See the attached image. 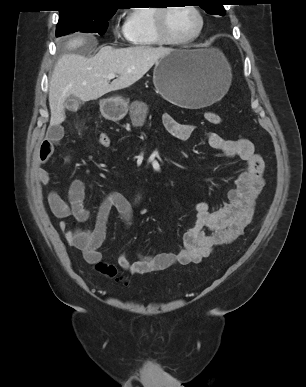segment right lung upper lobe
I'll return each instance as SVG.
<instances>
[{
    "label": "right lung upper lobe",
    "mask_w": 306,
    "mask_h": 387,
    "mask_svg": "<svg viewBox=\"0 0 306 387\" xmlns=\"http://www.w3.org/2000/svg\"><path fill=\"white\" fill-rule=\"evenodd\" d=\"M60 13L66 12H97L102 10H117L116 0H64Z\"/></svg>",
    "instance_id": "obj_1"
}]
</instances>
